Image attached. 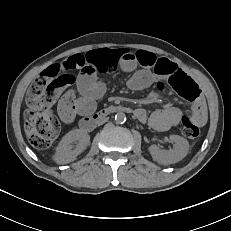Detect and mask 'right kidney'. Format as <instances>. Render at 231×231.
I'll list each match as a JSON object with an SVG mask.
<instances>
[{
    "instance_id": "right-kidney-1",
    "label": "right kidney",
    "mask_w": 231,
    "mask_h": 231,
    "mask_svg": "<svg viewBox=\"0 0 231 231\" xmlns=\"http://www.w3.org/2000/svg\"><path fill=\"white\" fill-rule=\"evenodd\" d=\"M76 144L75 148L73 144ZM90 144L88 133L75 129L68 132L59 142L54 160L59 164H66L74 161L84 149Z\"/></svg>"
}]
</instances>
